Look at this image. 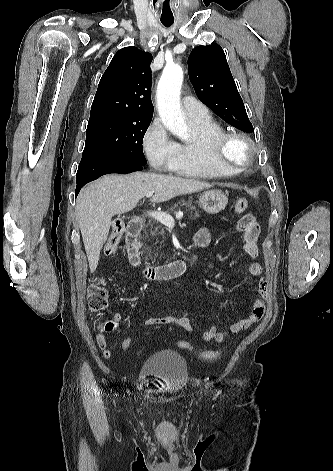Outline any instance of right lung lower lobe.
<instances>
[{"label":"right lung lower lobe","mask_w":333,"mask_h":471,"mask_svg":"<svg viewBox=\"0 0 333 471\" xmlns=\"http://www.w3.org/2000/svg\"><path fill=\"white\" fill-rule=\"evenodd\" d=\"M142 169L143 167L141 164L108 158L81 160L76 175L77 187L75 196L78 195L79 191L86 183L93 181L102 175L109 173L125 174L140 171Z\"/></svg>","instance_id":"obj_1"}]
</instances>
